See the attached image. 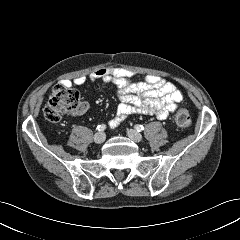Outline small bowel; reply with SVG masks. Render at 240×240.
<instances>
[{
	"instance_id": "obj_1",
	"label": "small bowel",
	"mask_w": 240,
	"mask_h": 240,
	"mask_svg": "<svg viewBox=\"0 0 240 240\" xmlns=\"http://www.w3.org/2000/svg\"><path fill=\"white\" fill-rule=\"evenodd\" d=\"M89 80H98L112 84L117 89L120 103L110 127L115 128L134 114H155L163 120L174 113L183 100V95L177 87L158 76L149 75L142 80L136 78V73L119 67H104L94 71L88 78L79 76L73 80L64 79L65 86L83 85ZM87 105L82 104L77 113L85 111Z\"/></svg>"
}]
</instances>
